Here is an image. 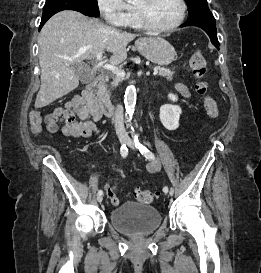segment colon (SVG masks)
I'll return each instance as SVG.
<instances>
[{
	"instance_id": "obj_1",
	"label": "colon",
	"mask_w": 261,
	"mask_h": 273,
	"mask_svg": "<svg viewBox=\"0 0 261 273\" xmlns=\"http://www.w3.org/2000/svg\"><path fill=\"white\" fill-rule=\"evenodd\" d=\"M190 67L193 76L196 79L195 89L198 95L203 98V104L208 116L216 119L219 116L217 102L207 94V82L204 80L206 73V59L201 49H194L190 57ZM42 116L38 111H32L30 114V123L32 130L35 133H40L42 130ZM136 199L144 204L152 203L157 197L158 192L152 190L136 189L134 192Z\"/></svg>"
}]
</instances>
